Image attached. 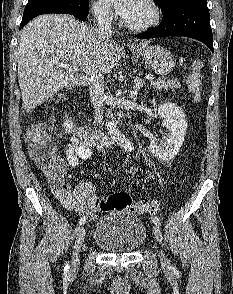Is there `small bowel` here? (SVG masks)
Returning <instances> with one entry per match:
<instances>
[{
  "label": "small bowel",
  "instance_id": "c3829d8e",
  "mask_svg": "<svg viewBox=\"0 0 233 294\" xmlns=\"http://www.w3.org/2000/svg\"><path fill=\"white\" fill-rule=\"evenodd\" d=\"M67 162L72 167H77L91 157L92 147L85 144L75 134L71 141L64 145ZM95 187L93 183L83 181L76 186L61 182L56 184L52 182V192L57 200L64 207L83 217L94 219L95 214L90 206L92 200L98 199L94 195Z\"/></svg>",
  "mask_w": 233,
  "mask_h": 294
}]
</instances>
